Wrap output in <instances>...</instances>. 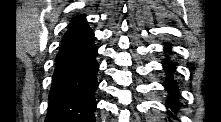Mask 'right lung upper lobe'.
<instances>
[{
	"instance_id": "right-lung-upper-lobe-1",
	"label": "right lung upper lobe",
	"mask_w": 221,
	"mask_h": 122,
	"mask_svg": "<svg viewBox=\"0 0 221 122\" xmlns=\"http://www.w3.org/2000/svg\"><path fill=\"white\" fill-rule=\"evenodd\" d=\"M84 21H85V16H77V17L72 19V22H71L69 28H71L75 25H78V24H80L81 22H84Z\"/></svg>"
}]
</instances>
